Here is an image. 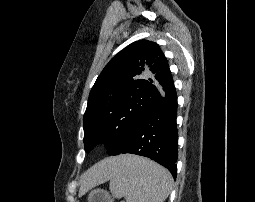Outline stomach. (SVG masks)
Segmentation results:
<instances>
[{
	"instance_id": "obj_1",
	"label": "stomach",
	"mask_w": 255,
	"mask_h": 202,
	"mask_svg": "<svg viewBox=\"0 0 255 202\" xmlns=\"http://www.w3.org/2000/svg\"><path fill=\"white\" fill-rule=\"evenodd\" d=\"M88 202H112L108 193L101 189H94L88 195Z\"/></svg>"
}]
</instances>
